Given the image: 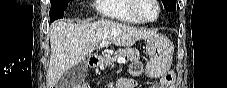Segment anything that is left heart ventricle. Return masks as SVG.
<instances>
[{"label": "left heart ventricle", "mask_w": 227, "mask_h": 88, "mask_svg": "<svg viewBox=\"0 0 227 88\" xmlns=\"http://www.w3.org/2000/svg\"><path fill=\"white\" fill-rule=\"evenodd\" d=\"M137 11L143 19H153L157 15V8L151 0H140Z\"/></svg>", "instance_id": "b2bd125f"}]
</instances>
